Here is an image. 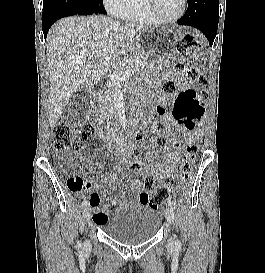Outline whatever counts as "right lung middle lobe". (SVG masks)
I'll list each match as a JSON object with an SVG mask.
<instances>
[{"mask_svg":"<svg viewBox=\"0 0 265 273\" xmlns=\"http://www.w3.org/2000/svg\"><path fill=\"white\" fill-rule=\"evenodd\" d=\"M57 9L72 10L83 14H106L102 0H44L43 13Z\"/></svg>","mask_w":265,"mask_h":273,"instance_id":"1","label":"right lung middle lobe"}]
</instances>
